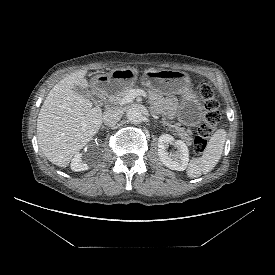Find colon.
Segmentation results:
<instances>
[{
    "mask_svg": "<svg viewBox=\"0 0 275 275\" xmlns=\"http://www.w3.org/2000/svg\"><path fill=\"white\" fill-rule=\"evenodd\" d=\"M199 100L202 104V124L194 139V151L198 154L204 152L207 141L215 131L220 120L219 104L214 96L212 88L201 83L199 86Z\"/></svg>",
    "mask_w": 275,
    "mask_h": 275,
    "instance_id": "1",
    "label": "colon"
}]
</instances>
